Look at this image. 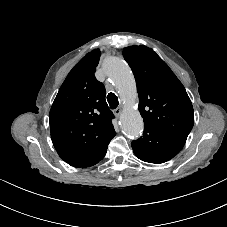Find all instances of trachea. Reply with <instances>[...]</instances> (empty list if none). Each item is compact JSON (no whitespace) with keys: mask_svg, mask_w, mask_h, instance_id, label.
Returning <instances> with one entry per match:
<instances>
[{"mask_svg":"<svg viewBox=\"0 0 227 227\" xmlns=\"http://www.w3.org/2000/svg\"><path fill=\"white\" fill-rule=\"evenodd\" d=\"M107 101H108L109 106H110L111 109H115L119 105V101H118L117 96L114 93H112V92H110L108 94Z\"/></svg>","mask_w":227,"mask_h":227,"instance_id":"obj_1","label":"trachea"}]
</instances>
